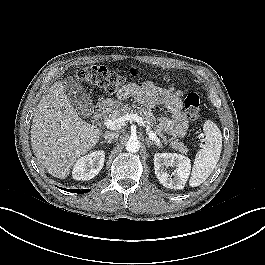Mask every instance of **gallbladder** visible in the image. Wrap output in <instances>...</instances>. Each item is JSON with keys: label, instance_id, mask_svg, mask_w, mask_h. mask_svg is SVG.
<instances>
[{"label": "gallbladder", "instance_id": "gallbladder-1", "mask_svg": "<svg viewBox=\"0 0 265 265\" xmlns=\"http://www.w3.org/2000/svg\"><path fill=\"white\" fill-rule=\"evenodd\" d=\"M63 86L70 102L77 107L78 113L83 118H88L92 113L93 101L81 83L70 76L64 80Z\"/></svg>", "mask_w": 265, "mask_h": 265}]
</instances>
